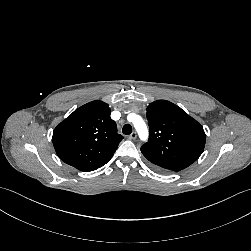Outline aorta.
I'll return each mask as SVG.
<instances>
[{
    "mask_svg": "<svg viewBox=\"0 0 251 251\" xmlns=\"http://www.w3.org/2000/svg\"><path fill=\"white\" fill-rule=\"evenodd\" d=\"M133 124L136 131L138 132L140 139L142 141H146L148 138V129L144 120L140 116L134 115Z\"/></svg>",
    "mask_w": 251,
    "mask_h": 251,
    "instance_id": "762f6f07",
    "label": "aorta"
}]
</instances>
